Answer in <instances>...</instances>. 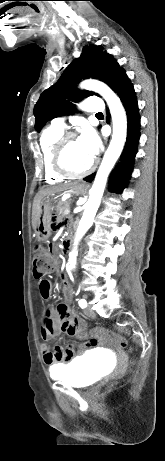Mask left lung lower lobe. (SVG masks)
<instances>
[{
    "label": "left lung lower lobe",
    "mask_w": 165,
    "mask_h": 461,
    "mask_svg": "<svg viewBox=\"0 0 165 461\" xmlns=\"http://www.w3.org/2000/svg\"><path fill=\"white\" fill-rule=\"evenodd\" d=\"M112 90L120 97L126 110L128 122L126 144L120 156V162L111 176L110 191L119 193L125 187L133 169V161L140 137V116L136 94L125 71L118 75L112 86ZM95 174L93 173L85 177L84 180L91 182Z\"/></svg>",
    "instance_id": "0a47b994"
}]
</instances>
